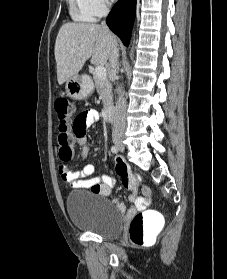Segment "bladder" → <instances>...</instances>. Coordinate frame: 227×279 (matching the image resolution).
<instances>
[{"label":"bladder","mask_w":227,"mask_h":279,"mask_svg":"<svg viewBox=\"0 0 227 279\" xmlns=\"http://www.w3.org/2000/svg\"><path fill=\"white\" fill-rule=\"evenodd\" d=\"M66 210L76 227L104 238H118L123 231L121 215L102 194L90 191L70 193L66 201Z\"/></svg>","instance_id":"bladder-1"}]
</instances>
